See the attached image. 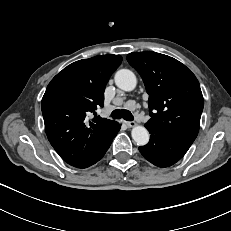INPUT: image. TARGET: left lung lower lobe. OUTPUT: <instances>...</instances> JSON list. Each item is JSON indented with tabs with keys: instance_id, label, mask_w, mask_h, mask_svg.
Masks as SVG:
<instances>
[{
	"instance_id": "left-lung-lower-lobe-1",
	"label": "left lung lower lobe",
	"mask_w": 231,
	"mask_h": 231,
	"mask_svg": "<svg viewBox=\"0 0 231 231\" xmlns=\"http://www.w3.org/2000/svg\"><path fill=\"white\" fill-rule=\"evenodd\" d=\"M150 132V141L139 147L141 154L158 167H169L179 161L188 151V145L181 143L161 131L145 124Z\"/></svg>"
}]
</instances>
